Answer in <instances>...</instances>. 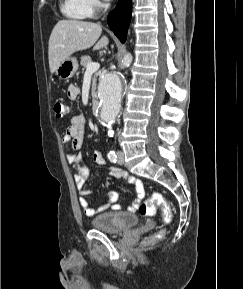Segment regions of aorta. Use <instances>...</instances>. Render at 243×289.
I'll list each match as a JSON object with an SVG mask.
<instances>
[{
	"label": "aorta",
	"mask_w": 243,
	"mask_h": 289,
	"mask_svg": "<svg viewBox=\"0 0 243 289\" xmlns=\"http://www.w3.org/2000/svg\"><path fill=\"white\" fill-rule=\"evenodd\" d=\"M132 62L131 54L124 55L120 68L128 67ZM123 83L118 72L107 73L100 81L98 97L100 100V119L108 128V135L113 136L112 124L121 107Z\"/></svg>",
	"instance_id": "aorta-1"
}]
</instances>
